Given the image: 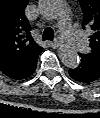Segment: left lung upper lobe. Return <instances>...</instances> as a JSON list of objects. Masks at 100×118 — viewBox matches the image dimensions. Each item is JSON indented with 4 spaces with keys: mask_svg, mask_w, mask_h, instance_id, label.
Wrapping results in <instances>:
<instances>
[{
    "mask_svg": "<svg viewBox=\"0 0 100 118\" xmlns=\"http://www.w3.org/2000/svg\"><path fill=\"white\" fill-rule=\"evenodd\" d=\"M79 1L83 11L82 26L93 31V34L89 37L90 53L79 55L87 61L100 66V0Z\"/></svg>",
    "mask_w": 100,
    "mask_h": 118,
    "instance_id": "left-lung-upper-lobe-1",
    "label": "left lung upper lobe"
}]
</instances>
